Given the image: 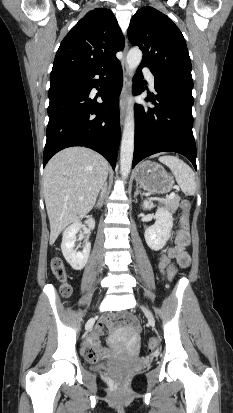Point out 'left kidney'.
Returning a JSON list of instances; mask_svg holds the SVG:
<instances>
[{"label":"left kidney","instance_id":"1","mask_svg":"<svg viewBox=\"0 0 233 413\" xmlns=\"http://www.w3.org/2000/svg\"><path fill=\"white\" fill-rule=\"evenodd\" d=\"M144 210H150L154 207L152 202L144 201L142 204ZM155 224L145 230L144 237L147 245L155 251L162 249L170 238L173 227V216L165 208H158L155 214Z\"/></svg>","mask_w":233,"mask_h":413}]
</instances>
